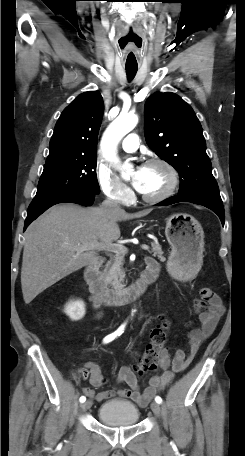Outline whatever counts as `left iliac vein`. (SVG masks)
I'll return each mask as SVG.
<instances>
[{
  "label": "left iliac vein",
  "mask_w": 245,
  "mask_h": 456,
  "mask_svg": "<svg viewBox=\"0 0 245 456\" xmlns=\"http://www.w3.org/2000/svg\"><path fill=\"white\" fill-rule=\"evenodd\" d=\"M151 410L153 411V413L159 417L160 414H161V408H160V405L157 403V402H152L151 403Z\"/></svg>",
  "instance_id": "left-iliac-vein-1"
}]
</instances>
